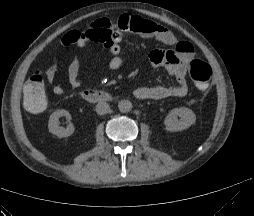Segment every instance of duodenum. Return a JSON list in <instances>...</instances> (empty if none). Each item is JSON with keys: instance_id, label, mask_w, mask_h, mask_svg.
<instances>
[{"instance_id": "obj_1", "label": "duodenum", "mask_w": 254, "mask_h": 216, "mask_svg": "<svg viewBox=\"0 0 254 216\" xmlns=\"http://www.w3.org/2000/svg\"><path fill=\"white\" fill-rule=\"evenodd\" d=\"M84 99L90 102L108 101L111 95L101 90H86L82 93Z\"/></svg>"}]
</instances>
